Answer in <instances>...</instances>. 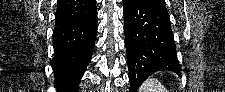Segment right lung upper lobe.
<instances>
[{
  "instance_id": "1",
  "label": "right lung upper lobe",
  "mask_w": 225,
  "mask_h": 92,
  "mask_svg": "<svg viewBox=\"0 0 225 92\" xmlns=\"http://www.w3.org/2000/svg\"><path fill=\"white\" fill-rule=\"evenodd\" d=\"M96 11V0H58L55 25L76 21Z\"/></svg>"
}]
</instances>
